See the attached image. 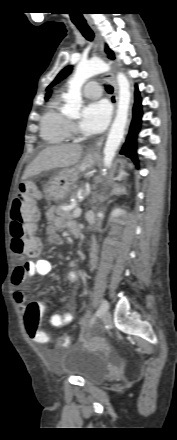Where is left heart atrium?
Returning <instances> with one entry per match:
<instances>
[{"mask_svg":"<svg viewBox=\"0 0 177 440\" xmlns=\"http://www.w3.org/2000/svg\"><path fill=\"white\" fill-rule=\"evenodd\" d=\"M109 119L110 109L106 102H91L82 110L79 127L89 134H97L106 128Z\"/></svg>","mask_w":177,"mask_h":440,"instance_id":"39dd6f15","label":"left heart atrium"}]
</instances>
